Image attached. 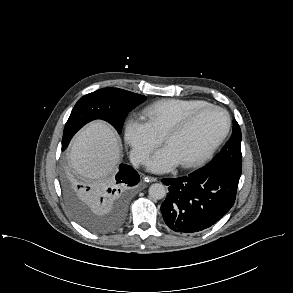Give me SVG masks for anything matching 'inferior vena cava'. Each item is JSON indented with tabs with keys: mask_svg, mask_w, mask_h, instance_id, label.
<instances>
[{
	"mask_svg": "<svg viewBox=\"0 0 293 293\" xmlns=\"http://www.w3.org/2000/svg\"><path fill=\"white\" fill-rule=\"evenodd\" d=\"M146 160V156L142 155L140 153H133L131 155V162L133 163V165L135 166H139V164L144 163Z\"/></svg>",
	"mask_w": 293,
	"mask_h": 293,
	"instance_id": "inferior-vena-cava-1",
	"label": "inferior vena cava"
}]
</instances>
